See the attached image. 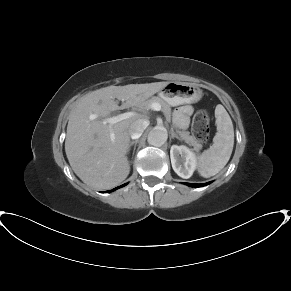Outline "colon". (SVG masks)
<instances>
[{"label":"colon","mask_w":291,"mask_h":291,"mask_svg":"<svg viewBox=\"0 0 291 291\" xmlns=\"http://www.w3.org/2000/svg\"><path fill=\"white\" fill-rule=\"evenodd\" d=\"M209 114L206 111H199L195 114L192 124V131L196 140L204 144L209 137Z\"/></svg>","instance_id":"5ec220e1"}]
</instances>
